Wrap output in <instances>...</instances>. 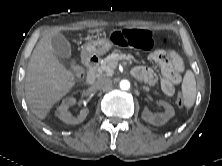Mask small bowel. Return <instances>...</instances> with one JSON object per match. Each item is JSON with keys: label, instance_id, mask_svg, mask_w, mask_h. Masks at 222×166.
<instances>
[{"label": "small bowel", "instance_id": "obj_1", "mask_svg": "<svg viewBox=\"0 0 222 166\" xmlns=\"http://www.w3.org/2000/svg\"><path fill=\"white\" fill-rule=\"evenodd\" d=\"M150 58L156 62L162 73L161 87L162 91L172 96L175 92L174 85L181 81V74L184 71V63L181 56L174 50H155ZM134 76L146 82L149 85H154L157 81L156 74L147 67H136L133 70Z\"/></svg>", "mask_w": 222, "mask_h": 166}]
</instances>
